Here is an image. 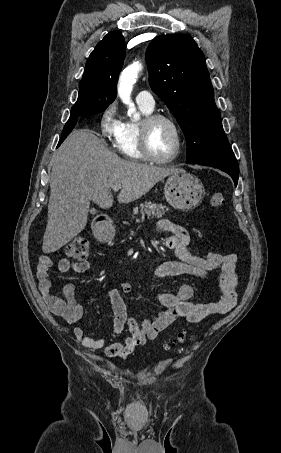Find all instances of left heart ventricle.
Returning a JSON list of instances; mask_svg holds the SVG:
<instances>
[{"instance_id": "left-heart-ventricle-1", "label": "left heart ventricle", "mask_w": 281, "mask_h": 453, "mask_svg": "<svg viewBox=\"0 0 281 453\" xmlns=\"http://www.w3.org/2000/svg\"><path fill=\"white\" fill-rule=\"evenodd\" d=\"M175 136L172 129L164 122H160L152 131L151 143L156 156L166 158L171 155Z\"/></svg>"}]
</instances>
